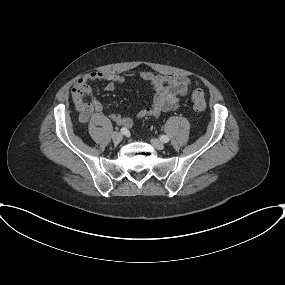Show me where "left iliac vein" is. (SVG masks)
<instances>
[{
  "label": "left iliac vein",
  "mask_w": 285,
  "mask_h": 285,
  "mask_svg": "<svg viewBox=\"0 0 285 285\" xmlns=\"http://www.w3.org/2000/svg\"><path fill=\"white\" fill-rule=\"evenodd\" d=\"M151 144L152 146L157 149V150H163L164 149V144L163 142H161L160 140L158 139H151Z\"/></svg>",
  "instance_id": "4c4485c4"
}]
</instances>
